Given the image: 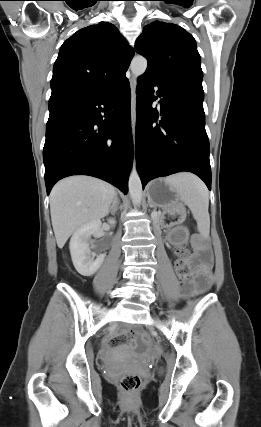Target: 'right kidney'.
Segmentation results:
<instances>
[{"instance_id": "ca27d5eb", "label": "right kidney", "mask_w": 261, "mask_h": 427, "mask_svg": "<svg viewBox=\"0 0 261 427\" xmlns=\"http://www.w3.org/2000/svg\"><path fill=\"white\" fill-rule=\"evenodd\" d=\"M108 222L115 225L113 219ZM102 222L94 220L79 227L71 237L70 252L76 270L83 276H91L100 268L105 259V254L96 255L89 248L91 235L99 236ZM96 257V258H95Z\"/></svg>"}]
</instances>
